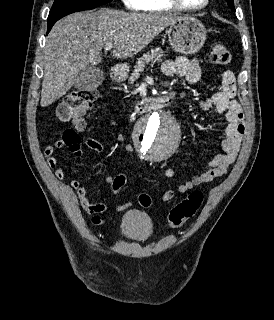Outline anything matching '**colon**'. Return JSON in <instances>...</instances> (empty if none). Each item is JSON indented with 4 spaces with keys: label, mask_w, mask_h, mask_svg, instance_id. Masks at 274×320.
<instances>
[{
    "label": "colon",
    "mask_w": 274,
    "mask_h": 320,
    "mask_svg": "<svg viewBox=\"0 0 274 320\" xmlns=\"http://www.w3.org/2000/svg\"><path fill=\"white\" fill-rule=\"evenodd\" d=\"M232 55L228 47L222 42L213 44L209 54V60L213 65L223 66L231 62ZM98 99V93L94 89H77L70 91L63 99L56 111L57 120L67 125L61 136L54 137L55 143L71 144V151L78 148L80 144V135L78 131H73L72 127H68V120H83V116L95 104ZM115 182L110 186L115 192H120L124 189L126 175H115ZM142 205H151L152 201L149 197L142 195L139 198ZM203 202V194L200 191L194 190L191 194L177 203L169 212L168 221L172 227H179L187 220H190L195 215Z\"/></svg>",
    "instance_id": "colon-1"
}]
</instances>
